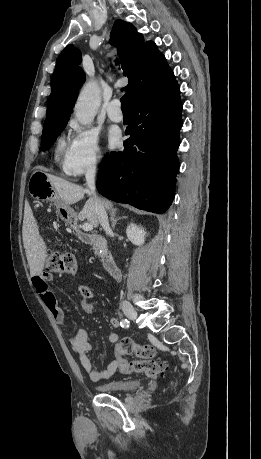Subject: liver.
Masks as SVG:
<instances>
[{"label":"liver","mask_w":261,"mask_h":459,"mask_svg":"<svg viewBox=\"0 0 261 459\" xmlns=\"http://www.w3.org/2000/svg\"><path fill=\"white\" fill-rule=\"evenodd\" d=\"M46 175L48 176V180L55 188L56 193L58 194L59 198L62 200L65 206L75 204L78 201L82 200L85 194H90L85 188L77 184L71 183L67 180H64L60 177L51 174ZM101 200L103 202L104 207L107 210L114 212L116 211V209L113 207V204L110 201L105 199ZM78 219H86L94 227L98 226L99 220L95 213L94 202L91 196L86 201L81 212L78 214ZM23 242L26 251V257L28 260V265L30 268V275H39L44 269V264L47 257V248L43 239L38 233L37 227L33 219L27 224V227L23 235Z\"/></svg>","instance_id":"1"}]
</instances>
